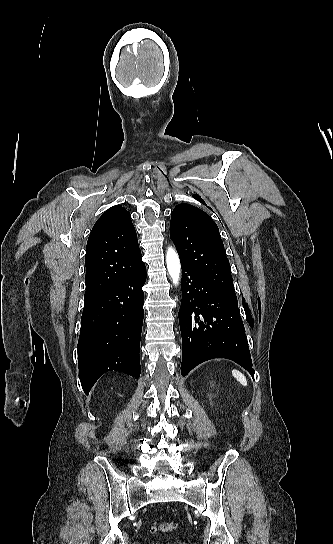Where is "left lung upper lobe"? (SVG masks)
<instances>
[{"label": "left lung upper lobe", "mask_w": 333, "mask_h": 544, "mask_svg": "<svg viewBox=\"0 0 333 544\" xmlns=\"http://www.w3.org/2000/svg\"><path fill=\"white\" fill-rule=\"evenodd\" d=\"M170 237L181 263L237 301L219 229L208 214L189 204L177 205L171 214Z\"/></svg>", "instance_id": "left-lung-upper-lobe-1"}]
</instances>
